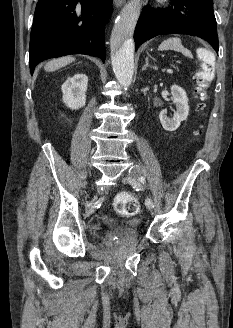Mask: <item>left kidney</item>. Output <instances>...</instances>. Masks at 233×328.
<instances>
[{"label": "left kidney", "mask_w": 233, "mask_h": 328, "mask_svg": "<svg viewBox=\"0 0 233 328\" xmlns=\"http://www.w3.org/2000/svg\"><path fill=\"white\" fill-rule=\"evenodd\" d=\"M173 103L176 107L173 117H167L166 110H162L159 119L162 127L167 131H175L182 121L186 120L189 114L188 97L184 89L178 85L171 86Z\"/></svg>", "instance_id": "left-kidney-1"}]
</instances>
